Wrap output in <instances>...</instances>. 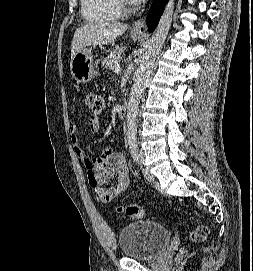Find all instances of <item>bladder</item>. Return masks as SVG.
Listing matches in <instances>:
<instances>
[{
	"mask_svg": "<svg viewBox=\"0 0 253 271\" xmlns=\"http://www.w3.org/2000/svg\"><path fill=\"white\" fill-rule=\"evenodd\" d=\"M170 231L160 223L142 220L123 227L118 243L124 257L152 260L159 256L170 242Z\"/></svg>",
	"mask_w": 253,
	"mask_h": 271,
	"instance_id": "31cf9c89",
	"label": "bladder"
}]
</instances>
